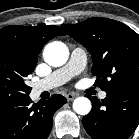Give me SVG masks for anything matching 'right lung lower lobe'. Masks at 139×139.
I'll list each match as a JSON object with an SVG mask.
<instances>
[{"label":"right lung lower lobe","instance_id":"98d812e1","mask_svg":"<svg viewBox=\"0 0 139 139\" xmlns=\"http://www.w3.org/2000/svg\"><path fill=\"white\" fill-rule=\"evenodd\" d=\"M66 102L58 94L38 103L29 96L0 102V139H47L54 113Z\"/></svg>","mask_w":139,"mask_h":139}]
</instances>
